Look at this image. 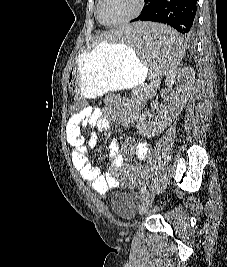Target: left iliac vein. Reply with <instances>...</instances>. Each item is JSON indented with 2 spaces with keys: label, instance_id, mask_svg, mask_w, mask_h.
<instances>
[{
  "label": "left iliac vein",
  "instance_id": "4c4485c4",
  "mask_svg": "<svg viewBox=\"0 0 227 267\" xmlns=\"http://www.w3.org/2000/svg\"><path fill=\"white\" fill-rule=\"evenodd\" d=\"M155 195V189L153 188L151 191L146 192L145 195L143 196L141 205L139 207V213L143 214L151 205L153 198Z\"/></svg>",
  "mask_w": 227,
  "mask_h": 267
}]
</instances>
